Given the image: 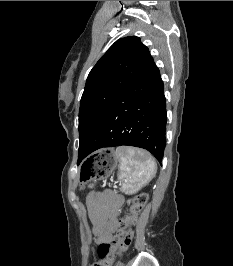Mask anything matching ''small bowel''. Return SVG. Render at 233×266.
Wrapping results in <instances>:
<instances>
[{
  "mask_svg": "<svg viewBox=\"0 0 233 266\" xmlns=\"http://www.w3.org/2000/svg\"><path fill=\"white\" fill-rule=\"evenodd\" d=\"M123 199L112 193H99L88 200L89 216L98 244H109L117 227Z\"/></svg>",
  "mask_w": 233,
  "mask_h": 266,
  "instance_id": "c3829d8e",
  "label": "small bowel"
}]
</instances>
